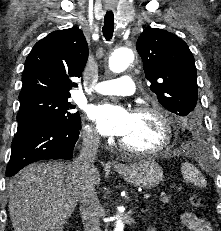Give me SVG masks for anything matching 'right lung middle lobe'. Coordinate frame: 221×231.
Segmentation results:
<instances>
[{"instance_id":"obj_1","label":"right lung middle lobe","mask_w":221,"mask_h":231,"mask_svg":"<svg viewBox=\"0 0 221 231\" xmlns=\"http://www.w3.org/2000/svg\"><path fill=\"white\" fill-rule=\"evenodd\" d=\"M70 95H37L20 99V108L17 115L18 127L31 120L50 119L70 125L81 123L78 112L69 102Z\"/></svg>"}]
</instances>
